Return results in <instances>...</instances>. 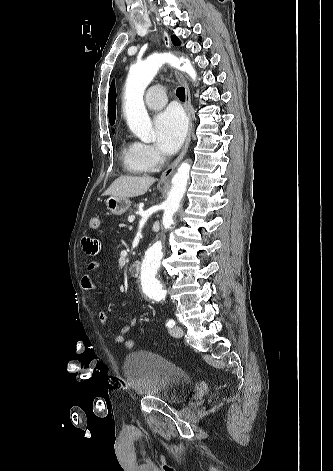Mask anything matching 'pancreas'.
Listing matches in <instances>:
<instances>
[{
	"instance_id": "obj_1",
	"label": "pancreas",
	"mask_w": 333,
	"mask_h": 471,
	"mask_svg": "<svg viewBox=\"0 0 333 471\" xmlns=\"http://www.w3.org/2000/svg\"><path fill=\"white\" fill-rule=\"evenodd\" d=\"M136 206V205H135ZM133 212V209L131 208L130 211H129V214H131Z\"/></svg>"
}]
</instances>
